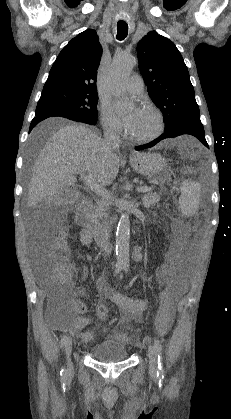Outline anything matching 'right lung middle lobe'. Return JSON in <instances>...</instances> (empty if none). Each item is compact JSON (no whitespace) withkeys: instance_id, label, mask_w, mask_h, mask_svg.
<instances>
[{"instance_id":"1","label":"right lung middle lobe","mask_w":231,"mask_h":419,"mask_svg":"<svg viewBox=\"0 0 231 419\" xmlns=\"http://www.w3.org/2000/svg\"><path fill=\"white\" fill-rule=\"evenodd\" d=\"M97 92L64 86L43 88L35 116L64 117L74 121L95 124L97 122Z\"/></svg>"}]
</instances>
